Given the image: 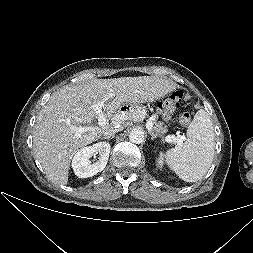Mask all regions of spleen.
Returning a JSON list of instances; mask_svg holds the SVG:
<instances>
[{"mask_svg": "<svg viewBox=\"0 0 253 253\" xmlns=\"http://www.w3.org/2000/svg\"><path fill=\"white\" fill-rule=\"evenodd\" d=\"M213 124L207 112L197 111L188 127L185 142L166 152L167 165L186 182L200 180L210 168L214 156Z\"/></svg>", "mask_w": 253, "mask_h": 253, "instance_id": "1", "label": "spleen"}]
</instances>
